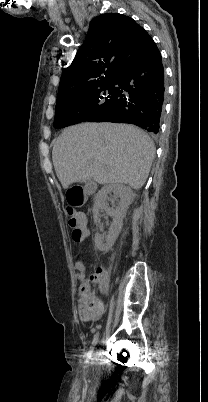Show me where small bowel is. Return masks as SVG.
I'll return each mask as SVG.
<instances>
[{
  "instance_id": "obj_1",
  "label": "small bowel",
  "mask_w": 208,
  "mask_h": 402,
  "mask_svg": "<svg viewBox=\"0 0 208 402\" xmlns=\"http://www.w3.org/2000/svg\"><path fill=\"white\" fill-rule=\"evenodd\" d=\"M86 230V236L88 235V230L86 229V223H83ZM78 269V279L79 280H99L98 277H101L99 280V287L101 290H107L110 288V283L108 282L109 271L108 270H93L91 272L92 279L86 278L84 276L85 265L81 262L80 266H77ZM95 277V278H94ZM100 318L97 315H85L83 317V321L80 324L82 330H92L96 327V324L99 323ZM107 328L109 330H114L116 328V323L114 321H109L107 323Z\"/></svg>"
}]
</instances>
